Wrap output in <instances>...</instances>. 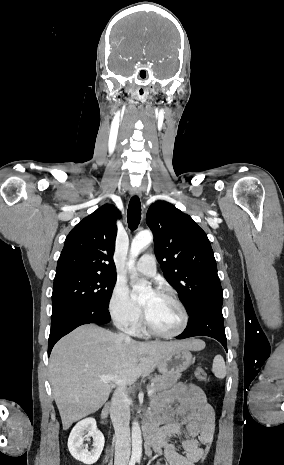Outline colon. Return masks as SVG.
Segmentation results:
<instances>
[{
  "label": "colon",
  "mask_w": 284,
  "mask_h": 465,
  "mask_svg": "<svg viewBox=\"0 0 284 465\" xmlns=\"http://www.w3.org/2000/svg\"><path fill=\"white\" fill-rule=\"evenodd\" d=\"M195 377L200 380V381H206L207 380V373L206 371L201 368V367H198L195 369ZM204 452L205 454H211V451L213 450V445L211 443H209L208 441H205L204 442ZM206 456V455H205ZM202 462H207V457H202Z\"/></svg>",
  "instance_id": "colon-1"
}]
</instances>
